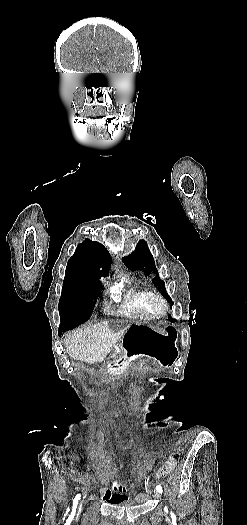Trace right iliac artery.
I'll return each instance as SVG.
<instances>
[{
	"label": "right iliac artery",
	"instance_id": "1",
	"mask_svg": "<svg viewBox=\"0 0 247 525\" xmlns=\"http://www.w3.org/2000/svg\"><path fill=\"white\" fill-rule=\"evenodd\" d=\"M80 497H81V495L77 494L76 497L73 500V508H72L71 517H74V515H75L77 504H78V501L80 500Z\"/></svg>",
	"mask_w": 247,
	"mask_h": 525
}]
</instances>
